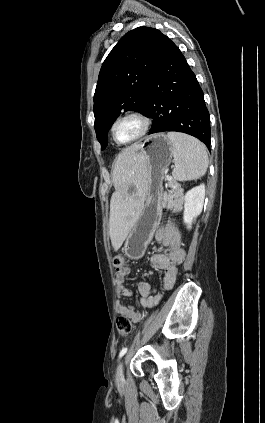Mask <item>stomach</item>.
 Segmentation results:
<instances>
[{
  "instance_id": "0dacf381",
  "label": "stomach",
  "mask_w": 265,
  "mask_h": 423,
  "mask_svg": "<svg viewBox=\"0 0 265 423\" xmlns=\"http://www.w3.org/2000/svg\"><path fill=\"white\" fill-rule=\"evenodd\" d=\"M139 154L145 159L148 190L143 207L124 245L125 254L140 259L162 217V181L173 156L172 143L164 133L154 134L140 143Z\"/></svg>"
}]
</instances>
